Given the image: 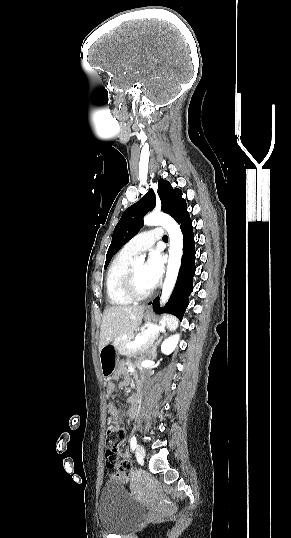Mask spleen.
<instances>
[{
  "label": "spleen",
  "instance_id": "obj_1",
  "mask_svg": "<svg viewBox=\"0 0 291 538\" xmlns=\"http://www.w3.org/2000/svg\"><path fill=\"white\" fill-rule=\"evenodd\" d=\"M165 321L167 322V326L171 330H175L178 326V319L172 315H165L164 316Z\"/></svg>",
  "mask_w": 291,
  "mask_h": 538
}]
</instances>
